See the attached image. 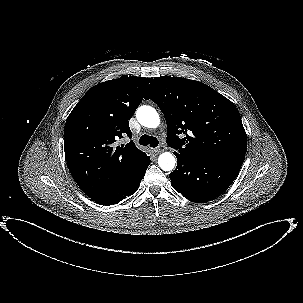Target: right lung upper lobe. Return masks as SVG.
I'll return each instance as SVG.
<instances>
[{"instance_id": "1", "label": "right lung upper lobe", "mask_w": 303, "mask_h": 303, "mask_svg": "<svg viewBox=\"0 0 303 303\" xmlns=\"http://www.w3.org/2000/svg\"><path fill=\"white\" fill-rule=\"evenodd\" d=\"M152 78L122 76L95 85L68 116L64 150L69 170L81 190L91 199L127 181L147 155L133 141L128 120L143 100Z\"/></svg>"}]
</instances>
